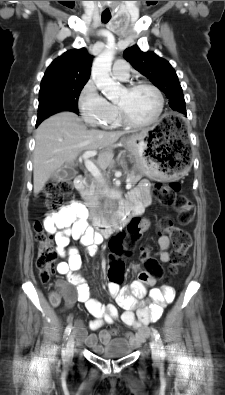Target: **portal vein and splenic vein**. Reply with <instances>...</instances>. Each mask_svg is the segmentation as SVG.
I'll use <instances>...</instances> for the list:
<instances>
[{
  "label": "portal vein and splenic vein",
  "mask_w": 225,
  "mask_h": 395,
  "mask_svg": "<svg viewBox=\"0 0 225 395\" xmlns=\"http://www.w3.org/2000/svg\"><path fill=\"white\" fill-rule=\"evenodd\" d=\"M97 154L96 150L86 151L83 154V159L87 170L96 178L99 182H103L102 175L100 170L95 166V164L89 160L90 157L95 156ZM132 187L129 180H127L126 189H130Z\"/></svg>",
  "instance_id": "1"
}]
</instances>
